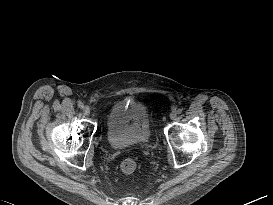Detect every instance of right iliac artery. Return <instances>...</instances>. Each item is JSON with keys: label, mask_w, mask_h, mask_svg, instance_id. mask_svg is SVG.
Masks as SVG:
<instances>
[{"label": "right iliac artery", "mask_w": 273, "mask_h": 205, "mask_svg": "<svg viewBox=\"0 0 273 205\" xmlns=\"http://www.w3.org/2000/svg\"><path fill=\"white\" fill-rule=\"evenodd\" d=\"M78 107H79V108H83V107H84V104L80 101V102H78Z\"/></svg>", "instance_id": "obj_1"}]
</instances>
